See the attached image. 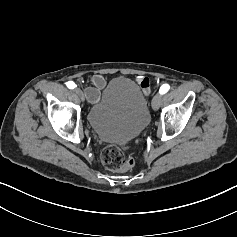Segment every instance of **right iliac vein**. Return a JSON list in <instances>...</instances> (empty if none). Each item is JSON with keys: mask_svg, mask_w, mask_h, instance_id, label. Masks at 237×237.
I'll list each match as a JSON object with an SVG mask.
<instances>
[{"mask_svg": "<svg viewBox=\"0 0 237 237\" xmlns=\"http://www.w3.org/2000/svg\"><path fill=\"white\" fill-rule=\"evenodd\" d=\"M75 93L80 97V99H81L82 101H84L83 92H82L79 88H76V89H75Z\"/></svg>", "mask_w": 237, "mask_h": 237, "instance_id": "63e3f726", "label": "right iliac vein"}]
</instances>
